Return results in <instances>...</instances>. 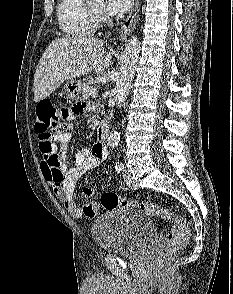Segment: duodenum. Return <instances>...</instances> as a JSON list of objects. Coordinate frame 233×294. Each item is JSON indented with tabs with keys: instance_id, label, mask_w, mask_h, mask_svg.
I'll list each match as a JSON object with an SVG mask.
<instances>
[{
	"instance_id": "duodenum-1",
	"label": "duodenum",
	"mask_w": 233,
	"mask_h": 294,
	"mask_svg": "<svg viewBox=\"0 0 233 294\" xmlns=\"http://www.w3.org/2000/svg\"><path fill=\"white\" fill-rule=\"evenodd\" d=\"M109 127L105 122H102L97 128V139L100 144L105 145L108 141Z\"/></svg>"
}]
</instances>
